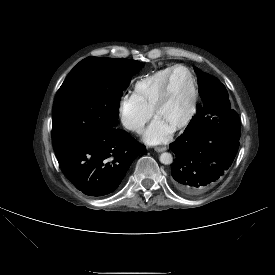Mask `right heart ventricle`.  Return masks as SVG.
I'll list each match as a JSON object with an SVG mask.
<instances>
[{
  "label": "right heart ventricle",
  "instance_id": "right-heart-ventricle-1",
  "mask_svg": "<svg viewBox=\"0 0 275 275\" xmlns=\"http://www.w3.org/2000/svg\"><path fill=\"white\" fill-rule=\"evenodd\" d=\"M172 67L160 69L138 80L132 95L144 107L153 110L157 97Z\"/></svg>",
  "mask_w": 275,
  "mask_h": 275
}]
</instances>
